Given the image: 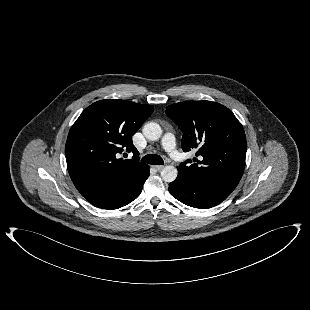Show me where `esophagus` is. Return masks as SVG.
I'll list each match as a JSON object with an SVG mask.
<instances>
[{"mask_svg":"<svg viewBox=\"0 0 310 310\" xmlns=\"http://www.w3.org/2000/svg\"><path fill=\"white\" fill-rule=\"evenodd\" d=\"M157 171H161L163 168H164V166L163 165H155V166H153Z\"/></svg>","mask_w":310,"mask_h":310,"instance_id":"34e87169","label":"esophagus"}]
</instances>
